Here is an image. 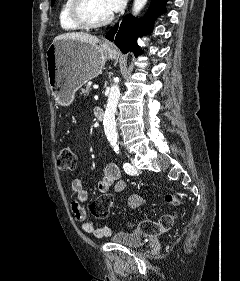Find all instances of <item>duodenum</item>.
Listing matches in <instances>:
<instances>
[{
	"mask_svg": "<svg viewBox=\"0 0 240 281\" xmlns=\"http://www.w3.org/2000/svg\"><path fill=\"white\" fill-rule=\"evenodd\" d=\"M94 115L95 117L99 120V121H103L105 114H104V110L101 108H97L94 110Z\"/></svg>",
	"mask_w": 240,
	"mask_h": 281,
	"instance_id": "1",
	"label": "duodenum"
}]
</instances>
